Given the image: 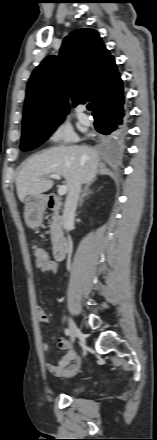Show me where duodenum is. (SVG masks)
<instances>
[{"label": "duodenum", "mask_w": 157, "mask_h": 440, "mask_svg": "<svg viewBox=\"0 0 157 440\" xmlns=\"http://www.w3.org/2000/svg\"><path fill=\"white\" fill-rule=\"evenodd\" d=\"M60 198L53 197L49 200L48 205L52 209H59L62 206ZM69 249V239L61 238L57 240L53 245V256L57 261L63 260Z\"/></svg>", "instance_id": "1"}]
</instances>
